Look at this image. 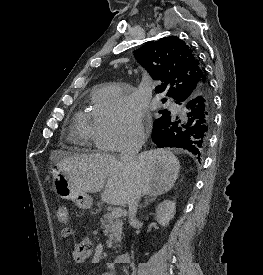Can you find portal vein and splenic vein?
Instances as JSON below:
<instances>
[{
	"instance_id": "1",
	"label": "portal vein and splenic vein",
	"mask_w": 263,
	"mask_h": 275,
	"mask_svg": "<svg viewBox=\"0 0 263 275\" xmlns=\"http://www.w3.org/2000/svg\"><path fill=\"white\" fill-rule=\"evenodd\" d=\"M112 216L115 218H119L122 216V209L120 207L114 208L111 212Z\"/></svg>"
}]
</instances>
